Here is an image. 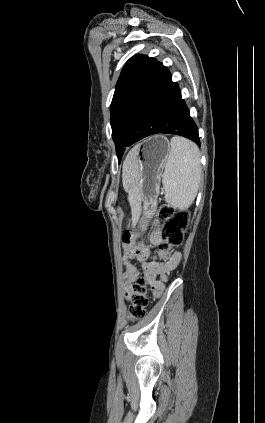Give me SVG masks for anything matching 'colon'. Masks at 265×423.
<instances>
[{"label": "colon", "instance_id": "5ec220e1", "mask_svg": "<svg viewBox=\"0 0 265 423\" xmlns=\"http://www.w3.org/2000/svg\"><path fill=\"white\" fill-rule=\"evenodd\" d=\"M155 223L161 227L162 240L158 245L159 251H169L180 246L189 225V214L186 211H176L169 206L161 207L156 215ZM124 251L131 250L134 246V235L125 232L122 235ZM147 287L143 278H138L131 290L130 305L128 308L129 319L133 322L143 319L149 305L146 295Z\"/></svg>", "mask_w": 265, "mask_h": 423}]
</instances>
